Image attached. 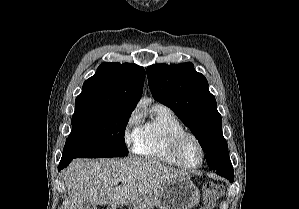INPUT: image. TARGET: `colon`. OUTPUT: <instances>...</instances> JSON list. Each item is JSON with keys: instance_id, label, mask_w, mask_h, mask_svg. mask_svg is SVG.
I'll return each mask as SVG.
<instances>
[{"instance_id": "1", "label": "colon", "mask_w": 299, "mask_h": 209, "mask_svg": "<svg viewBox=\"0 0 299 209\" xmlns=\"http://www.w3.org/2000/svg\"><path fill=\"white\" fill-rule=\"evenodd\" d=\"M224 190L225 188L222 184L213 182L205 183L203 186L206 204L205 209L213 207L217 203V201L223 196Z\"/></svg>"}]
</instances>
